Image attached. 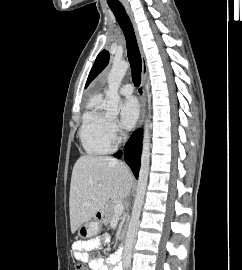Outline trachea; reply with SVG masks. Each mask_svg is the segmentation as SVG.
I'll return each instance as SVG.
<instances>
[{
  "label": "trachea",
  "mask_w": 242,
  "mask_h": 270,
  "mask_svg": "<svg viewBox=\"0 0 242 270\" xmlns=\"http://www.w3.org/2000/svg\"><path fill=\"white\" fill-rule=\"evenodd\" d=\"M118 24L120 25L127 44L128 60L131 67L132 79L135 86L141 83V55L131 21L122 5L110 6Z\"/></svg>",
  "instance_id": "obj_1"
}]
</instances>
